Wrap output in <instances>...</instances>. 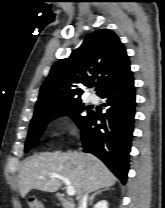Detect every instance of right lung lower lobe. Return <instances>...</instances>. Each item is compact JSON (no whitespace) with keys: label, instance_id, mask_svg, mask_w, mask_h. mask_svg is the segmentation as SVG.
<instances>
[{"label":"right lung lower lobe","instance_id":"1","mask_svg":"<svg viewBox=\"0 0 165 208\" xmlns=\"http://www.w3.org/2000/svg\"><path fill=\"white\" fill-rule=\"evenodd\" d=\"M99 96L106 100L107 113L98 117L91 111L81 125L84 151L100 158L125 184L136 105L132 72Z\"/></svg>","mask_w":165,"mask_h":208}]
</instances>
